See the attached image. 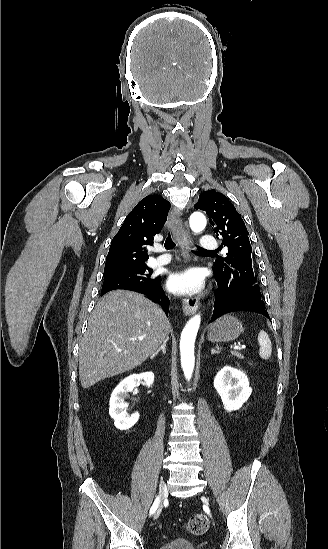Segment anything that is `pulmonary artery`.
Segmentation results:
<instances>
[{
    "label": "pulmonary artery",
    "instance_id": "e3ab8cb5",
    "mask_svg": "<svg viewBox=\"0 0 328 549\" xmlns=\"http://www.w3.org/2000/svg\"><path fill=\"white\" fill-rule=\"evenodd\" d=\"M201 246L206 252H219L221 245L219 241H212L209 237H204L200 241ZM170 260V256L163 254L153 259L152 263L155 265L166 264Z\"/></svg>",
    "mask_w": 328,
    "mask_h": 549
}]
</instances>
